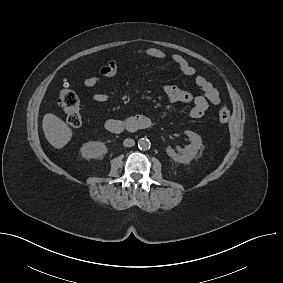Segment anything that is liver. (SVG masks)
Here are the masks:
<instances>
[{"instance_id":"liver-1","label":"liver","mask_w":283,"mask_h":283,"mask_svg":"<svg viewBox=\"0 0 283 283\" xmlns=\"http://www.w3.org/2000/svg\"><path fill=\"white\" fill-rule=\"evenodd\" d=\"M42 127L47 141L56 149L63 148L73 136L72 129L52 113L44 115Z\"/></svg>"}]
</instances>
